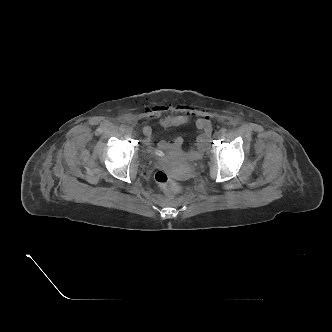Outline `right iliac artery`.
<instances>
[{
	"label": "right iliac artery",
	"instance_id": "right-iliac-artery-1",
	"mask_svg": "<svg viewBox=\"0 0 332 332\" xmlns=\"http://www.w3.org/2000/svg\"><path fill=\"white\" fill-rule=\"evenodd\" d=\"M120 129H121V131H127L128 130L127 126H125V125H121Z\"/></svg>",
	"mask_w": 332,
	"mask_h": 332
}]
</instances>
